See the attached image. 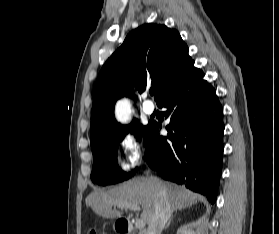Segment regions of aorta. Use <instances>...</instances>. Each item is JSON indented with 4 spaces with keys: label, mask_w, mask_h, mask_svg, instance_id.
Masks as SVG:
<instances>
[{
    "label": "aorta",
    "mask_w": 279,
    "mask_h": 234,
    "mask_svg": "<svg viewBox=\"0 0 279 234\" xmlns=\"http://www.w3.org/2000/svg\"><path fill=\"white\" fill-rule=\"evenodd\" d=\"M130 104L128 100L122 99L117 102L115 108V115L119 122L126 123L130 118Z\"/></svg>",
    "instance_id": "obj_1"
}]
</instances>
